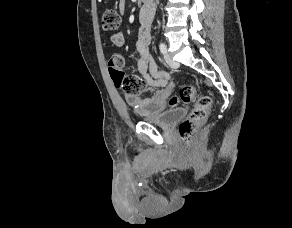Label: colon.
Instances as JSON below:
<instances>
[{
  "instance_id": "1",
  "label": "colon",
  "mask_w": 292,
  "mask_h": 228,
  "mask_svg": "<svg viewBox=\"0 0 292 228\" xmlns=\"http://www.w3.org/2000/svg\"><path fill=\"white\" fill-rule=\"evenodd\" d=\"M102 28L107 32H115L121 25L119 12L112 7H108L102 14ZM124 60L119 54H113L108 62L109 72L115 85L119 87L127 96H137L142 88L143 82L137 75H126L123 71ZM195 102V106L187 118L179 125V135L185 143H190L198 127L206 120L211 98L199 95L193 86H184L178 95L171 97L169 105L176 106L178 103L190 104Z\"/></svg>"
}]
</instances>
